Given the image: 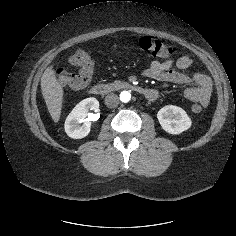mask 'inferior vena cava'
<instances>
[{"label": "inferior vena cava", "instance_id": "602c4592", "mask_svg": "<svg viewBox=\"0 0 236 236\" xmlns=\"http://www.w3.org/2000/svg\"><path fill=\"white\" fill-rule=\"evenodd\" d=\"M105 104L108 108H115L119 104V98L116 94H109L105 97Z\"/></svg>", "mask_w": 236, "mask_h": 236}]
</instances>
